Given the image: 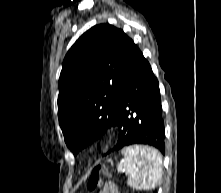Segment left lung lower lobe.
I'll list each match as a JSON object with an SVG mask.
<instances>
[{"mask_svg": "<svg viewBox=\"0 0 221 193\" xmlns=\"http://www.w3.org/2000/svg\"><path fill=\"white\" fill-rule=\"evenodd\" d=\"M117 111L119 138L110 152L134 144H145L154 146L164 154L165 128L159 83L140 50L123 78ZM150 112L151 120L147 123L145 118Z\"/></svg>", "mask_w": 221, "mask_h": 193, "instance_id": "obj_1", "label": "left lung lower lobe"}]
</instances>
